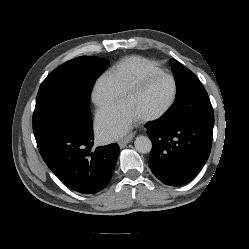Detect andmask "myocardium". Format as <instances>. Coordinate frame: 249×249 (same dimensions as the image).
<instances>
[{
  "mask_svg": "<svg viewBox=\"0 0 249 249\" xmlns=\"http://www.w3.org/2000/svg\"><path fill=\"white\" fill-rule=\"evenodd\" d=\"M158 77H166V78L171 80V82H172V94H171V97L168 100V102L159 111L152 113L150 115L140 117V120L143 122L157 120V119L163 117L165 114H167L169 112V110L172 108V106L175 103V100L177 97V92H178L177 82H176L174 76H172L171 74L166 73L164 71L149 73V74H146V75H143L142 77H140L138 80H136L134 83H132L125 91L124 98H127L128 96H130L133 93L142 89L151 80L158 78Z\"/></svg>",
  "mask_w": 249,
  "mask_h": 249,
  "instance_id": "obj_1",
  "label": "myocardium"
}]
</instances>
